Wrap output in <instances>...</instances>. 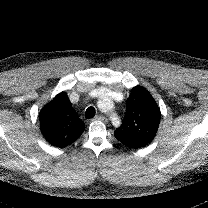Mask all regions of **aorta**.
Segmentation results:
<instances>
[{
    "label": "aorta",
    "mask_w": 208,
    "mask_h": 208,
    "mask_svg": "<svg viewBox=\"0 0 208 208\" xmlns=\"http://www.w3.org/2000/svg\"><path fill=\"white\" fill-rule=\"evenodd\" d=\"M98 106L105 112H110L113 108L112 101L105 95L100 97L98 101Z\"/></svg>",
    "instance_id": "aorta-1"
}]
</instances>
